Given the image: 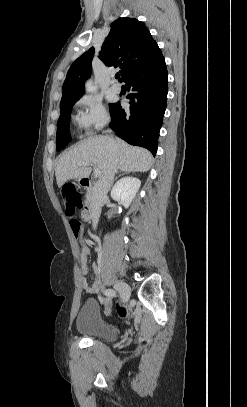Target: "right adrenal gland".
Wrapping results in <instances>:
<instances>
[{
	"instance_id": "right-adrenal-gland-1",
	"label": "right adrenal gland",
	"mask_w": 247,
	"mask_h": 407,
	"mask_svg": "<svg viewBox=\"0 0 247 407\" xmlns=\"http://www.w3.org/2000/svg\"><path fill=\"white\" fill-rule=\"evenodd\" d=\"M124 174H127V172H126V173L119 174L118 177H120V176H122V175H124ZM118 177H116V178L112 181V183H111V185H110V188L112 187L114 181H116V180L118 179ZM110 188H109V189H110Z\"/></svg>"
}]
</instances>
